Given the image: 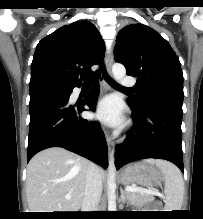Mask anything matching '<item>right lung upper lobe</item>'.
I'll return each instance as SVG.
<instances>
[{
  "label": "right lung upper lobe",
  "mask_w": 203,
  "mask_h": 219,
  "mask_svg": "<svg viewBox=\"0 0 203 219\" xmlns=\"http://www.w3.org/2000/svg\"><path fill=\"white\" fill-rule=\"evenodd\" d=\"M104 53V42L91 22L62 26L38 43L30 82L53 80L68 86L81 85L80 80L92 74L90 67L100 63Z\"/></svg>",
  "instance_id": "1"
}]
</instances>
